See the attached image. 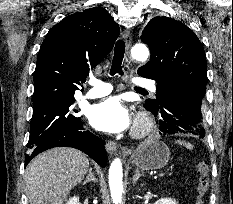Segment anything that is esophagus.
<instances>
[{
	"instance_id": "34e87169",
	"label": "esophagus",
	"mask_w": 233,
	"mask_h": 204,
	"mask_svg": "<svg viewBox=\"0 0 233 204\" xmlns=\"http://www.w3.org/2000/svg\"><path fill=\"white\" fill-rule=\"evenodd\" d=\"M123 38H124V41H125V44H126V48H127V55H126V61L128 62L129 61V48L131 46V42H132V35H131V31L126 29L124 30L123 32ZM106 147V151L110 154L114 153L117 151L118 149V145L116 142L114 141H108L105 145Z\"/></svg>"
}]
</instances>
